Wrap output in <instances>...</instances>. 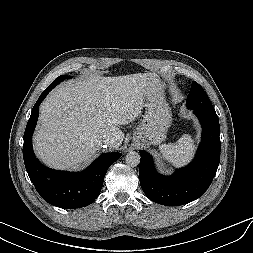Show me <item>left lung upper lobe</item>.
<instances>
[{
  "label": "left lung upper lobe",
  "mask_w": 253,
  "mask_h": 253,
  "mask_svg": "<svg viewBox=\"0 0 253 253\" xmlns=\"http://www.w3.org/2000/svg\"><path fill=\"white\" fill-rule=\"evenodd\" d=\"M186 104L191 109L215 110L203 88L195 81L192 83Z\"/></svg>",
  "instance_id": "1"
}]
</instances>
